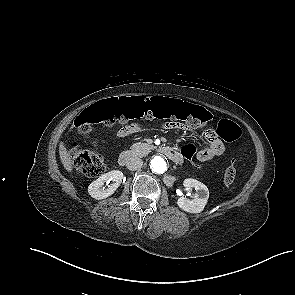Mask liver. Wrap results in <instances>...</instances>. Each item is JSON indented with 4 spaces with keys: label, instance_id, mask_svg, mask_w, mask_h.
I'll use <instances>...</instances> for the list:
<instances>
[{
    "label": "liver",
    "instance_id": "obj_1",
    "mask_svg": "<svg viewBox=\"0 0 295 295\" xmlns=\"http://www.w3.org/2000/svg\"><path fill=\"white\" fill-rule=\"evenodd\" d=\"M59 155H60L61 162H62L64 168L66 169V171L72 172L73 161L71 160V156H70V154H69L68 150L66 149L63 142H61L59 145Z\"/></svg>",
    "mask_w": 295,
    "mask_h": 295
}]
</instances>
